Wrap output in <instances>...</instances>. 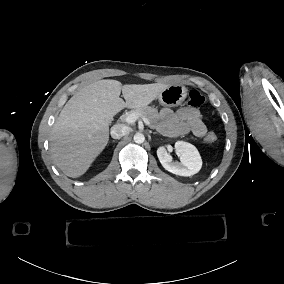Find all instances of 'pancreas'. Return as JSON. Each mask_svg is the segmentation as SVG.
I'll return each instance as SVG.
<instances>
[{
  "label": "pancreas",
  "mask_w": 284,
  "mask_h": 284,
  "mask_svg": "<svg viewBox=\"0 0 284 284\" xmlns=\"http://www.w3.org/2000/svg\"><path fill=\"white\" fill-rule=\"evenodd\" d=\"M136 114L141 118H146L150 121L151 123V128H156L159 120H160V114L157 108H152V107H143V108H137V109H132L128 115ZM123 117H126L124 115Z\"/></svg>",
  "instance_id": "cf45deb5"
}]
</instances>
